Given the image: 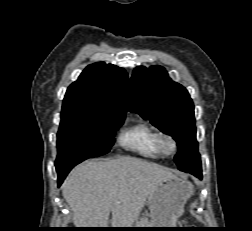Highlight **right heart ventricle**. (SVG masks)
Instances as JSON below:
<instances>
[{
    "label": "right heart ventricle",
    "instance_id": "right-heart-ventricle-1",
    "mask_svg": "<svg viewBox=\"0 0 252 231\" xmlns=\"http://www.w3.org/2000/svg\"><path fill=\"white\" fill-rule=\"evenodd\" d=\"M158 131L149 123L138 120L129 125L118 136L119 145L146 158H159L162 154L156 146Z\"/></svg>",
    "mask_w": 252,
    "mask_h": 231
}]
</instances>
